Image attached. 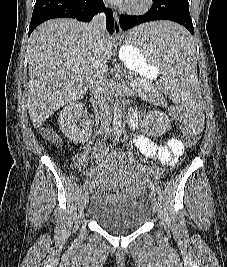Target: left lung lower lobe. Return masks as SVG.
<instances>
[{"label":"left lung lower lobe","instance_id":"0a47b994","mask_svg":"<svg viewBox=\"0 0 227 267\" xmlns=\"http://www.w3.org/2000/svg\"><path fill=\"white\" fill-rule=\"evenodd\" d=\"M153 2L151 10L143 16L120 15L121 29L128 30L139 24L155 20H170L183 25L191 34H194L188 0H153ZM166 39L167 45L173 50L188 46L187 41L173 35L167 36Z\"/></svg>","mask_w":227,"mask_h":267}]
</instances>
